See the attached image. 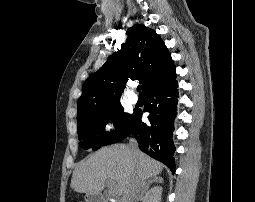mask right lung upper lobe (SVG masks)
Returning <instances> with one entry per match:
<instances>
[{"label": "right lung upper lobe", "mask_w": 255, "mask_h": 202, "mask_svg": "<svg viewBox=\"0 0 255 202\" xmlns=\"http://www.w3.org/2000/svg\"><path fill=\"white\" fill-rule=\"evenodd\" d=\"M128 39L105 64L84 83L77 104V118L96 109L120 103L128 78L138 79L143 94L176 78L175 66L163 40L152 29L136 24Z\"/></svg>", "instance_id": "cb5924a9"}]
</instances>
